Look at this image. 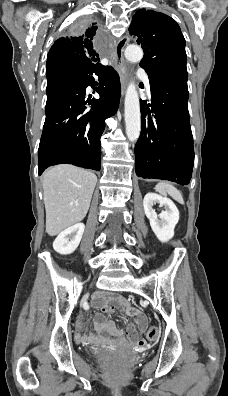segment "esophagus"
<instances>
[{"mask_svg":"<svg viewBox=\"0 0 228 396\" xmlns=\"http://www.w3.org/2000/svg\"><path fill=\"white\" fill-rule=\"evenodd\" d=\"M128 43V37H122L115 46V67L119 74L122 94H124L127 83H128V69L123 57V52L126 44Z\"/></svg>","mask_w":228,"mask_h":396,"instance_id":"obj_1","label":"esophagus"}]
</instances>
